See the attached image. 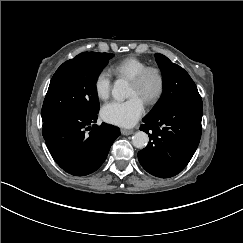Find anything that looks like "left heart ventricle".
Instances as JSON below:
<instances>
[{
    "instance_id": "b2bd125f",
    "label": "left heart ventricle",
    "mask_w": 243,
    "mask_h": 243,
    "mask_svg": "<svg viewBox=\"0 0 243 243\" xmlns=\"http://www.w3.org/2000/svg\"><path fill=\"white\" fill-rule=\"evenodd\" d=\"M159 84L157 73L151 72L139 86L130 82L129 96L138 95L146 102L147 99L153 97L157 93Z\"/></svg>"
}]
</instances>
